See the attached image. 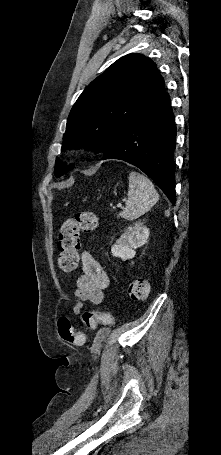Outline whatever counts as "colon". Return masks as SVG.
<instances>
[{"label":"colon","mask_w":221,"mask_h":455,"mask_svg":"<svg viewBox=\"0 0 221 455\" xmlns=\"http://www.w3.org/2000/svg\"><path fill=\"white\" fill-rule=\"evenodd\" d=\"M99 226V220L91 211L77 212L65 220L59 232V268L66 273L76 269L79 262L80 234L91 233ZM149 283L145 279H136L128 287V295L134 301H145L149 296ZM81 321L87 328H94L99 323H109L110 316L101 311H85ZM61 339L69 345L80 346L85 342V335L73 328L70 320L62 316L57 323Z\"/></svg>","instance_id":"obj_1"}]
</instances>
